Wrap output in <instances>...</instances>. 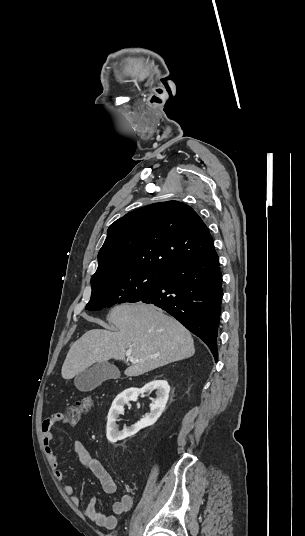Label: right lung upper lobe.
<instances>
[{
	"label": "right lung upper lobe",
	"mask_w": 305,
	"mask_h": 536,
	"mask_svg": "<svg viewBox=\"0 0 305 536\" xmlns=\"http://www.w3.org/2000/svg\"><path fill=\"white\" fill-rule=\"evenodd\" d=\"M213 249L207 226L190 206L177 201L151 204L108 228L91 281L135 271L167 272Z\"/></svg>",
	"instance_id": "obj_1"
}]
</instances>
